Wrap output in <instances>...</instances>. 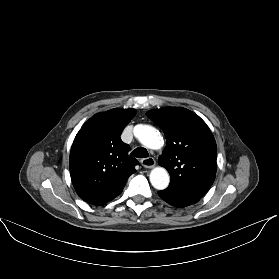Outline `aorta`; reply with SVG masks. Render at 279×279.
Segmentation results:
<instances>
[{"label":"aorta","instance_id":"762f6f07","mask_svg":"<svg viewBox=\"0 0 279 279\" xmlns=\"http://www.w3.org/2000/svg\"><path fill=\"white\" fill-rule=\"evenodd\" d=\"M135 136L141 144L150 149H159L163 144L160 132L150 125H138L135 129ZM149 179L157 190H164L170 182L169 174L163 167L152 169Z\"/></svg>","mask_w":279,"mask_h":279}]
</instances>
